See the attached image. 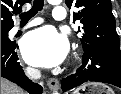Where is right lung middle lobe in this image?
Segmentation results:
<instances>
[{
  "label": "right lung middle lobe",
  "instance_id": "right-lung-middle-lobe-1",
  "mask_svg": "<svg viewBox=\"0 0 121 94\" xmlns=\"http://www.w3.org/2000/svg\"><path fill=\"white\" fill-rule=\"evenodd\" d=\"M10 29H3L1 30V42H10L9 38H8V31Z\"/></svg>",
  "mask_w": 121,
  "mask_h": 94
}]
</instances>
